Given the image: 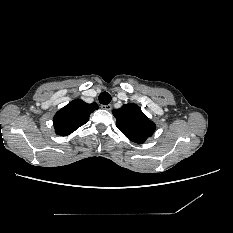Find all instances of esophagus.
Instances as JSON below:
<instances>
[{
    "mask_svg": "<svg viewBox=\"0 0 233 233\" xmlns=\"http://www.w3.org/2000/svg\"><path fill=\"white\" fill-rule=\"evenodd\" d=\"M101 108L104 109V110H107V111H111L112 106L110 104H108V105H101Z\"/></svg>",
    "mask_w": 233,
    "mask_h": 233,
    "instance_id": "1",
    "label": "esophagus"
}]
</instances>
